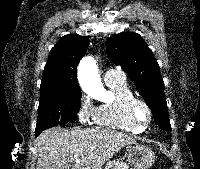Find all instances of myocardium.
I'll return each instance as SVG.
<instances>
[{"label":"myocardium","instance_id":"obj_1","mask_svg":"<svg viewBox=\"0 0 200 169\" xmlns=\"http://www.w3.org/2000/svg\"><path fill=\"white\" fill-rule=\"evenodd\" d=\"M139 108L145 109L147 113V117L145 120H142L140 118L139 113H138ZM127 109H128L129 119L135 126L144 130L150 125L153 118V114H152V110L150 106L144 100L139 99V98H134L133 100L129 102Z\"/></svg>","mask_w":200,"mask_h":169}]
</instances>
